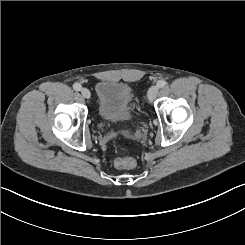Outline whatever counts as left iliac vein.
<instances>
[{
    "label": "left iliac vein",
    "instance_id": "obj_1",
    "mask_svg": "<svg viewBox=\"0 0 245 245\" xmlns=\"http://www.w3.org/2000/svg\"><path fill=\"white\" fill-rule=\"evenodd\" d=\"M158 94V87L157 86H152L149 90L148 93V99L150 102L154 101L156 96Z\"/></svg>",
    "mask_w": 245,
    "mask_h": 245
}]
</instances>
